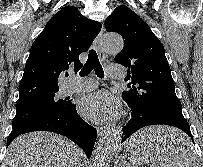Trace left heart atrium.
<instances>
[{
    "label": "left heart atrium",
    "mask_w": 203,
    "mask_h": 167,
    "mask_svg": "<svg viewBox=\"0 0 203 167\" xmlns=\"http://www.w3.org/2000/svg\"><path fill=\"white\" fill-rule=\"evenodd\" d=\"M79 111L93 121L109 122L119 115L120 103L111 93L100 91L84 96L79 103Z\"/></svg>",
    "instance_id": "1"
}]
</instances>
